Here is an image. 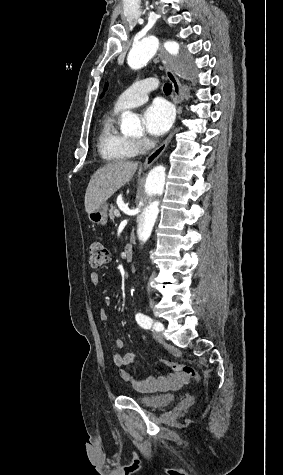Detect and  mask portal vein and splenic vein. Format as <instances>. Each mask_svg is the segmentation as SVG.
Listing matches in <instances>:
<instances>
[{
  "label": "portal vein and splenic vein",
  "instance_id": "obj_1",
  "mask_svg": "<svg viewBox=\"0 0 283 475\" xmlns=\"http://www.w3.org/2000/svg\"><path fill=\"white\" fill-rule=\"evenodd\" d=\"M114 214L115 216H120V212H118V210H115Z\"/></svg>",
  "mask_w": 283,
  "mask_h": 475
}]
</instances>
